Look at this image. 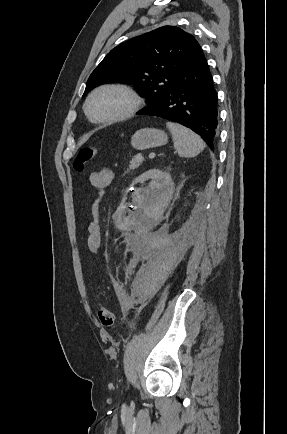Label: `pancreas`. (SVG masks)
<instances>
[{
  "instance_id": "cf45deb5",
  "label": "pancreas",
  "mask_w": 287,
  "mask_h": 434,
  "mask_svg": "<svg viewBox=\"0 0 287 434\" xmlns=\"http://www.w3.org/2000/svg\"><path fill=\"white\" fill-rule=\"evenodd\" d=\"M143 161L144 159L142 155L140 154L135 155L132 161L130 162V169H137L143 163Z\"/></svg>"
}]
</instances>
